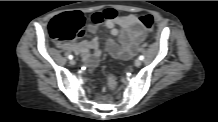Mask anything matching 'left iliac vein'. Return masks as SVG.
Segmentation results:
<instances>
[{"label": "left iliac vein", "mask_w": 218, "mask_h": 122, "mask_svg": "<svg viewBox=\"0 0 218 122\" xmlns=\"http://www.w3.org/2000/svg\"><path fill=\"white\" fill-rule=\"evenodd\" d=\"M141 64H142V62H141L140 59H137V60H135V62H134V65H135L136 67L141 66Z\"/></svg>", "instance_id": "left-iliac-vein-1"}]
</instances>
